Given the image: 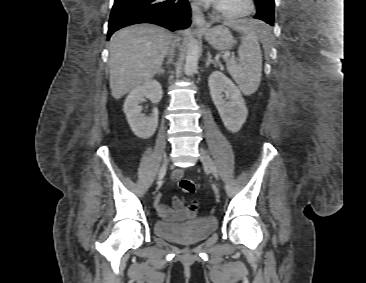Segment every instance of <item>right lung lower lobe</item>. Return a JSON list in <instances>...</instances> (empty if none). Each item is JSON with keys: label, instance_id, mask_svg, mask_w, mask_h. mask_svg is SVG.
<instances>
[{"label": "right lung lower lobe", "instance_id": "98d812e1", "mask_svg": "<svg viewBox=\"0 0 366 283\" xmlns=\"http://www.w3.org/2000/svg\"><path fill=\"white\" fill-rule=\"evenodd\" d=\"M190 18L188 0H114L107 38L120 28L138 23L157 24L172 31L186 29Z\"/></svg>", "mask_w": 366, "mask_h": 283}]
</instances>
